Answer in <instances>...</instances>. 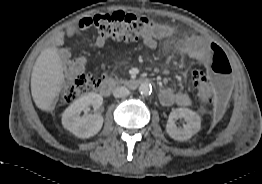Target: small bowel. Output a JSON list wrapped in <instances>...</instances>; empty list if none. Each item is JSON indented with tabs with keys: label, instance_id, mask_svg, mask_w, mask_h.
Masks as SVG:
<instances>
[{
	"label": "small bowel",
	"instance_id": "obj_1",
	"mask_svg": "<svg viewBox=\"0 0 262 184\" xmlns=\"http://www.w3.org/2000/svg\"><path fill=\"white\" fill-rule=\"evenodd\" d=\"M78 28L82 29L78 26ZM78 28L67 30L65 36L78 34ZM174 29L165 24L155 25L152 31L142 37L143 45L149 49H155L161 39L173 37ZM107 38L98 35L90 43L92 47H103ZM210 45L199 37H185L178 41V47L182 54L194 59L204 66L211 67V59L208 57V47ZM60 56L63 60L64 72L68 78L81 74L88 66L89 62L85 57L71 58V52L68 48L60 49ZM160 102L165 106L177 104L181 107H189L192 104L191 96L186 92H175L171 88H164L159 94Z\"/></svg>",
	"mask_w": 262,
	"mask_h": 184
}]
</instances>
